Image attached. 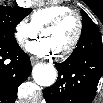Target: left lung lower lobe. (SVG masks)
<instances>
[{"instance_id":"0a47b994","label":"left lung lower lobe","mask_w":103,"mask_h":103,"mask_svg":"<svg viewBox=\"0 0 103 103\" xmlns=\"http://www.w3.org/2000/svg\"><path fill=\"white\" fill-rule=\"evenodd\" d=\"M58 80L44 90L47 103H91L103 73V43L98 28L81 33L69 58L55 65Z\"/></svg>"}]
</instances>
